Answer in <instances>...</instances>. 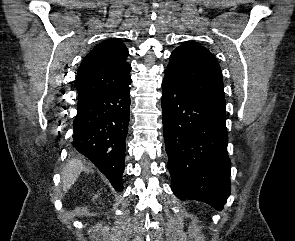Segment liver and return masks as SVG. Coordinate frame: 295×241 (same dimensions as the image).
<instances>
[{
    "mask_svg": "<svg viewBox=\"0 0 295 241\" xmlns=\"http://www.w3.org/2000/svg\"><path fill=\"white\" fill-rule=\"evenodd\" d=\"M83 171L92 172V166L77 158L68 161L61 173L63 192L66 193L71 188Z\"/></svg>",
    "mask_w": 295,
    "mask_h": 241,
    "instance_id": "6515ba94",
    "label": "liver"
}]
</instances>
